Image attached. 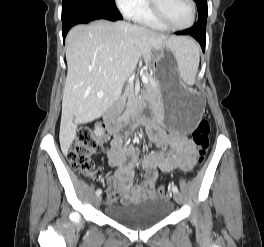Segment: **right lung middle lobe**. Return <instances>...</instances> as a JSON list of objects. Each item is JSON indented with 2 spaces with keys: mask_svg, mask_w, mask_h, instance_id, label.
<instances>
[{
  "mask_svg": "<svg viewBox=\"0 0 264 247\" xmlns=\"http://www.w3.org/2000/svg\"><path fill=\"white\" fill-rule=\"evenodd\" d=\"M66 1V0H63ZM84 1H89V2H93V3H99V4H104V5H115V1L114 0H84Z\"/></svg>",
  "mask_w": 264,
  "mask_h": 247,
  "instance_id": "dd1d6c3e",
  "label": "right lung middle lobe"
}]
</instances>
